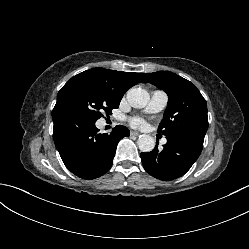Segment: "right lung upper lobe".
I'll list each match as a JSON object with an SVG mask.
<instances>
[{"label":"right lung upper lobe","mask_w":249,"mask_h":249,"mask_svg":"<svg viewBox=\"0 0 249 249\" xmlns=\"http://www.w3.org/2000/svg\"><path fill=\"white\" fill-rule=\"evenodd\" d=\"M80 74L92 77L113 95L120 98L130 87L140 82L144 83L145 78V73L119 72L104 68H92Z\"/></svg>","instance_id":"1"}]
</instances>
